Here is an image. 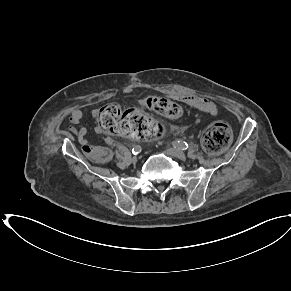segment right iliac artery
<instances>
[{
	"mask_svg": "<svg viewBox=\"0 0 291 291\" xmlns=\"http://www.w3.org/2000/svg\"><path fill=\"white\" fill-rule=\"evenodd\" d=\"M141 152V147L139 145L134 146V148L132 149V153L134 155H137Z\"/></svg>",
	"mask_w": 291,
	"mask_h": 291,
	"instance_id": "1",
	"label": "right iliac artery"
}]
</instances>
